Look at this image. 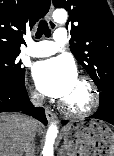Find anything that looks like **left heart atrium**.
Here are the masks:
<instances>
[{"instance_id": "39dd6f15", "label": "left heart atrium", "mask_w": 114, "mask_h": 156, "mask_svg": "<svg viewBox=\"0 0 114 156\" xmlns=\"http://www.w3.org/2000/svg\"><path fill=\"white\" fill-rule=\"evenodd\" d=\"M33 79L40 92L64 100L77 82L74 62L66 56H58L35 63Z\"/></svg>"}]
</instances>
